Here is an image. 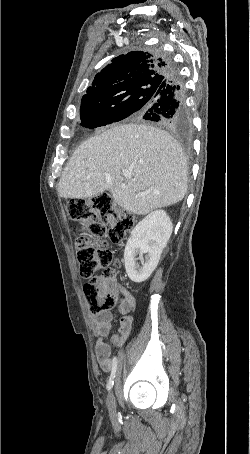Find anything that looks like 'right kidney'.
Returning <instances> with one entry per match:
<instances>
[{
	"instance_id": "1",
	"label": "right kidney",
	"mask_w": 250,
	"mask_h": 454,
	"mask_svg": "<svg viewBox=\"0 0 250 454\" xmlns=\"http://www.w3.org/2000/svg\"><path fill=\"white\" fill-rule=\"evenodd\" d=\"M172 230V222L164 210L151 212L132 230L125 246L124 261L126 273L133 282L141 283L152 274ZM143 254H146L145 262ZM137 255L142 260V266L136 263Z\"/></svg>"
}]
</instances>
